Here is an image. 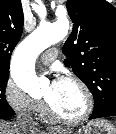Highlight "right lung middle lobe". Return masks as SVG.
I'll return each instance as SVG.
<instances>
[{
  "instance_id": "1",
  "label": "right lung middle lobe",
  "mask_w": 116,
  "mask_h": 134,
  "mask_svg": "<svg viewBox=\"0 0 116 134\" xmlns=\"http://www.w3.org/2000/svg\"><path fill=\"white\" fill-rule=\"evenodd\" d=\"M8 79L9 72H0V116H4L13 111L5 98V90Z\"/></svg>"
}]
</instances>
